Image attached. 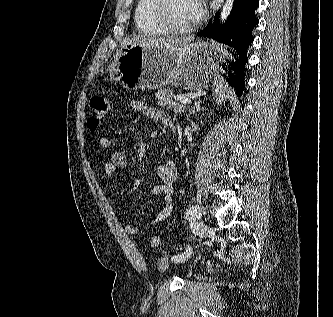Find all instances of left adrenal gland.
I'll list each match as a JSON object with an SVG mask.
<instances>
[{
	"instance_id": "left-adrenal-gland-1",
	"label": "left adrenal gland",
	"mask_w": 333,
	"mask_h": 317,
	"mask_svg": "<svg viewBox=\"0 0 333 317\" xmlns=\"http://www.w3.org/2000/svg\"><path fill=\"white\" fill-rule=\"evenodd\" d=\"M201 103H202V101H196L195 102L193 108L190 110L189 114L187 115V120L189 119V117L192 114H194V113H196V112H198V111H200V110L203 109V107H201Z\"/></svg>"
}]
</instances>
